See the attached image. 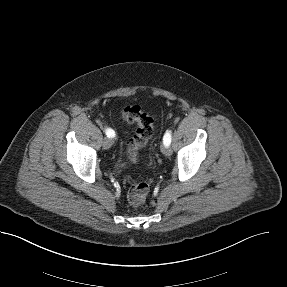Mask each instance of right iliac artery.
<instances>
[{
	"label": "right iliac artery",
	"instance_id": "right-iliac-artery-1",
	"mask_svg": "<svg viewBox=\"0 0 287 287\" xmlns=\"http://www.w3.org/2000/svg\"><path fill=\"white\" fill-rule=\"evenodd\" d=\"M105 133L109 138H113L115 136V132L111 128H106Z\"/></svg>",
	"mask_w": 287,
	"mask_h": 287
}]
</instances>
